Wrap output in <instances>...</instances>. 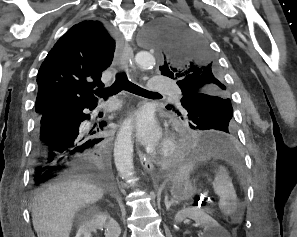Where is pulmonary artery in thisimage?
I'll list each match as a JSON object with an SVG mask.
<instances>
[{
	"label": "pulmonary artery",
	"mask_w": 297,
	"mask_h": 237,
	"mask_svg": "<svg viewBox=\"0 0 297 237\" xmlns=\"http://www.w3.org/2000/svg\"><path fill=\"white\" fill-rule=\"evenodd\" d=\"M149 90L151 91H173L177 93L175 85L164 79L162 76H155L151 79V82L148 85ZM119 102H110L104 107V111H112L119 107Z\"/></svg>",
	"instance_id": "obj_1"
}]
</instances>
